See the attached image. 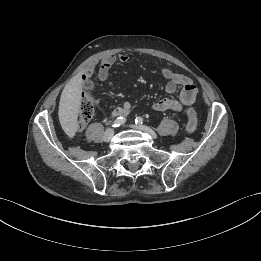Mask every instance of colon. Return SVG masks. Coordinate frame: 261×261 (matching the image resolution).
Wrapping results in <instances>:
<instances>
[{
  "label": "colon",
  "instance_id": "5ec220e1",
  "mask_svg": "<svg viewBox=\"0 0 261 261\" xmlns=\"http://www.w3.org/2000/svg\"><path fill=\"white\" fill-rule=\"evenodd\" d=\"M87 88L92 89V84L89 83ZM94 99L91 94L87 93L83 97L78 111V126H85L94 114ZM187 118L186 129L188 132L193 133L197 130L198 116L194 108H187L185 111Z\"/></svg>",
  "mask_w": 261,
  "mask_h": 261
}]
</instances>
